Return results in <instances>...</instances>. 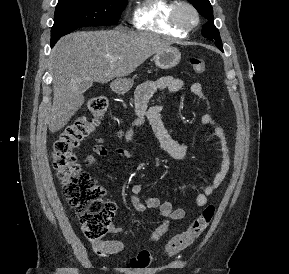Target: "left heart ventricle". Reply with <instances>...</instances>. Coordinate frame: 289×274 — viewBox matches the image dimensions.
I'll return each mask as SVG.
<instances>
[{"label": "left heart ventricle", "instance_id": "left-heart-ventricle-1", "mask_svg": "<svg viewBox=\"0 0 289 274\" xmlns=\"http://www.w3.org/2000/svg\"><path fill=\"white\" fill-rule=\"evenodd\" d=\"M182 16H183L184 20L187 22H191L193 20V16L188 10H184L182 12Z\"/></svg>", "mask_w": 289, "mask_h": 274}]
</instances>
